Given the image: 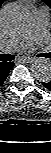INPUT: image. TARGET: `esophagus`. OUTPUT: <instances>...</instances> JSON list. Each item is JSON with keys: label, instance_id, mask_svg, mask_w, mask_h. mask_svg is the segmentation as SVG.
<instances>
[{"label": "esophagus", "instance_id": "esophagus-1", "mask_svg": "<svg viewBox=\"0 0 51 153\" xmlns=\"http://www.w3.org/2000/svg\"><path fill=\"white\" fill-rule=\"evenodd\" d=\"M21 61L24 62V63H32L34 61V58L23 57V58H21Z\"/></svg>", "mask_w": 51, "mask_h": 153}]
</instances>
